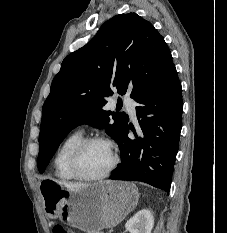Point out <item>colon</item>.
Wrapping results in <instances>:
<instances>
[{"label":"colon","mask_w":227,"mask_h":233,"mask_svg":"<svg viewBox=\"0 0 227 233\" xmlns=\"http://www.w3.org/2000/svg\"><path fill=\"white\" fill-rule=\"evenodd\" d=\"M53 233H74L73 231L61 226V225H56L53 228Z\"/></svg>","instance_id":"colon-1"}]
</instances>
